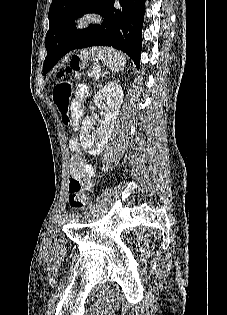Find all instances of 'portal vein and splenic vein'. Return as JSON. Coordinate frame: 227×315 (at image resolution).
<instances>
[{"instance_id": "portal-vein-and-splenic-vein-1", "label": "portal vein and splenic vein", "mask_w": 227, "mask_h": 315, "mask_svg": "<svg viewBox=\"0 0 227 315\" xmlns=\"http://www.w3.org/2000/svg\"><path fill=\"white\" fill-rule=\"evenodd\" d=\"M97 69V72H96V77H99V75H100V69H98V68H96Z\"/></svg>"}]
</instances>
